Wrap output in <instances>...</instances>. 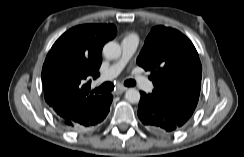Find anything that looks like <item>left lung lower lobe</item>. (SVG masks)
<instances>
[{"label": "left lung lower lobe", "mask_w": 244, "mask_h": 157, "mask_svg": "<svg viewBox=\"0 0 244 157\" xmlns=\"http://www.w3.org/2000/svg\"><path fill=\"white\" fill-rule=\"evenodd\" d=\"M138 117L151 132L158 135L173 134L184 125L164 102L153 94L144 92H141Z\"/></svg>", "instance_id": "0a47b994"}]
</instances>
